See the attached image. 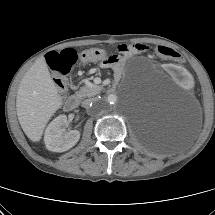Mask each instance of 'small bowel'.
<instances>
[{
  "label": "small bowel",
  "mask_w": 215,
  "mask_h": 215,
  "mask_svg": "<svg viewBox=\"0 0 215 215\" xmlns=\"http://www.w3.org/2000/svg\"><path fill=\"white\" fill-rule=\"evenodd\" d=\"M134 46H136L133 50H129L126 53H120V56H111L110 58L106 59L103 61L102 65L103 66H111L116 75H120L124 66V63L126 61V59L132 55H138V54H143L148 52L149 47L144 45V44H140V43H136L134 44Z\"/></svg>",
  "instance_id": "1"
}]
</instances>
